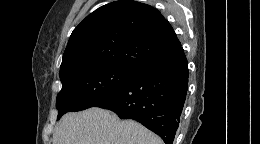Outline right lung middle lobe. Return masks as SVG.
Instances as JSON below:
<instances>
[{"label": "right lung middle lobe", "mask_w": 260, "mask_h": 144, "mask_svg": "<svg viewBox=\"0 0 260 144\" xmlns=\"http://www.w3.org/2000/svg\"><path fill=\"white\" fill-rule=\"evenodd\" d=\"M133 69L103 64L60 76L62 89L56 99L58 119L67 112L94 107L105 100L127 81Z\"/></svg>", "instance_id": "right-lung-middle-lobe-1"}]
</instances>
